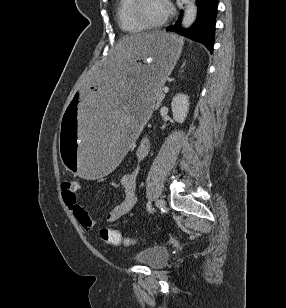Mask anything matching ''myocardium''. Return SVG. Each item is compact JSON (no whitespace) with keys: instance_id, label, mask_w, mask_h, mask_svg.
I'll use <instances>...</instances> for the list:
<instances>
[{"instance_id":"1","label":"myocardium","mask_w":286,"mask_h":308,"mask_svg":"<svg viewBox=\"0 0 286 308\" xmlns=\"http://www.w3.org/2000/svg\"><path fill=\"white\" fill-rule=\"evenodd\" d=\"M165 2L168 8V12L165 18L159 22L149 23L141 17L140 7H141V4L143 3V0H133V3L130 8V15L132 19L144 29H147V30L159 29L163 27L170 20L172 16L171 6L166 0Z\"/></svg>"}]
</instances>
